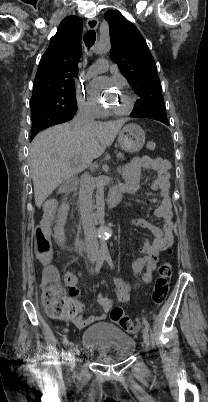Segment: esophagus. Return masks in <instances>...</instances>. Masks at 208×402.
Instances as JSON below:
<instances>
[{"label":"esophagus","instance_id":"esophagus-1","mask_svg":"<svg viewBox=\"0 0 208 402\" xmlns=\"http://www.w3.org/2000/svg\"><path fill=\"white\" fill-rule=\"evenodd\" d=\"M86 25L89 30H95L98 27L97 18H89Z\"/></svg>","mask_w":208,"mask_h":402}]
</instances>
